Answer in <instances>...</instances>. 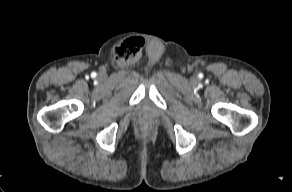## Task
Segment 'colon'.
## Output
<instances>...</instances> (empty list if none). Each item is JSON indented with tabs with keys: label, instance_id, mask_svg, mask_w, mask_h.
Instances as JSON below:
<instances>
[{
	"label": "colon",
	"instance_id": "1",
	"mask_svg": "<svg viewBox=\"0 0 292 192\" xmlns=\"http://www.w3.org/2000/svg\"><path fill=\"white\" fill-rule=\"evenodd\" d=\"M142 45H143V42H142V39L140 38L133 39L129 42H124L117 48L116 55L118 57L135 55L139 52Z\"/></svg>",
	"mask_w": 292,
	"mask_h": 192
}]
</instances>
